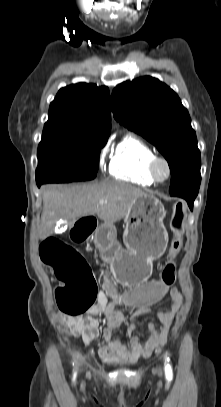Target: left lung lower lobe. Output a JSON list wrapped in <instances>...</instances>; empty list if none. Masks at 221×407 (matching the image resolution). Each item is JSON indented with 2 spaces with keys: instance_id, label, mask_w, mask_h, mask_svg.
Wrapping results in <instances>:
<instances>
[{
  "instance_id": "left-lung-lower-lobe-1",
  "label": "left lung lower lobe",
  "mask_w": 221,
  "mask_h": 407,
  "mask_svg": "<svg viewBox=\"0 0 221 407\" xmlns=\"http://www.w3.org/2000/svg\"><path fill=\"white\" fill-rule=\"evenodd\" d=\"M201 178L185 185H182L170 192L171 196H177L185 199L190 207L193 210V202L198 194Z\"/></svg>"
}]
</instances>
